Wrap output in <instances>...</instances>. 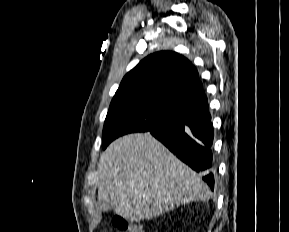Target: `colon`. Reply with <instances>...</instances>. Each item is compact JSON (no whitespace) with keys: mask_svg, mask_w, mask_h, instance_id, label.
I'll return each instance as SVG.
<instances>
[{"mask_svg":"<svg viewBox=\"0 0 289 232\" xmlns=\"http://www.w3.org/2000/svg\"><path fill=\"white\" fill-rule=\"evenodd\" d=\"M112 223L119 232H145L141 225L130 222L121 215H115Z\"/></svg>","mask_w":289,"mask_h":232,"instance_id":"colon-1","label":"colon"}]
</instances>
